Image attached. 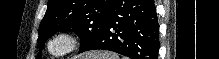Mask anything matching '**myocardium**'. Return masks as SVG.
Segmentation results:
<instances>
[{
    "mask_svg": "<svg viewBox=\"0 0 219 59\" xmlns=\"http://www.w3.org/2000/svg\"><path fill=\"white\" fill-rule=\"evenodd\" d=\"M61 43L59 49L55 45ZM79 39L77 35L69 31H60L51 35L45 43L46 52L54 58H63L73 53L78 47Z\"/></svg>",
    "mask_w": 219,
    "mask_h": 59,
    "instance_id": "myocardium-1",
    "label": "myocardium"
}]
</instances>
